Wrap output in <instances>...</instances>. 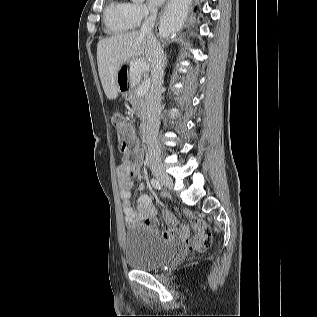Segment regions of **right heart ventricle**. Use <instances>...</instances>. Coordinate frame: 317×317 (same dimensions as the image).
<instances>
[{
    "label": "right heart ventricle",
    "instance_id": "right-heart-ventricle-1",
    "mask_svg": "<svg viewBox=\"0 0 317 317\" xmlns=\"http://www.w3.org/2000/svg\"><path fill=\"white\" fill-rule=\"evenodd\" d=\"M104 21L111 34H122L135 27L128 8L123 0H110L104 10Z\"/></svg>",
    "mask_w": 317,
    "mask_h": 317
}]
</instances>
